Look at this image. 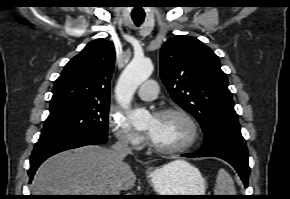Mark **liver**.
Masks as SVG:
<instances>
[{
  "label": "liver",
  "mask_w": 290,
  "mask_h": 199,
  "mask_svg": "<svg viewBox=\"0 0 290 199\" xmlns=\"http://www.w3.org/2000/svg\"><path fill=\"white\" fill-rule=\"evenodd\" d=\"M177 166L176 161L170 163ZM136 176L129 164L108 148L84 146L58 153L37 170L33 195H117L130 190Z\"/></svg>",
  "instance_id": "6515ba94"
}]
</instances>
